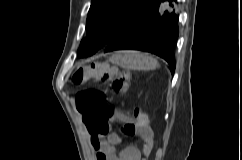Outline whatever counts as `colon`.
<instances>
[{"mask_svg":"<svg viewBox=\"0 0 242 160\" xmlns=\"http://www.w3.org/2000/svg\"><path fill=\"white\" fill-rule=\"evenodd\" d=\"M128 74L121 72L117 67L106 62H95L90 65L77 66L74 75V84H83L93 79L99 82H108L112 93H121L128 86ZM76 106L83 114V121L87 129L96 135H103L108 131V122L115 114L114 108L107 101L104 93L99 90L88 89L78 93ZM137 114L141 112L136 111ZM134 134V129L127 130Z\"/></svg>","mask_w":242,"mask_h":160,"instance_id":"5ec220e1","label":"colon"}]
</instances>
